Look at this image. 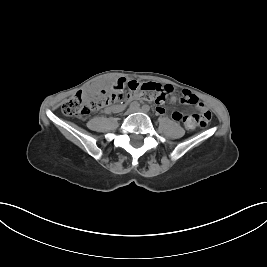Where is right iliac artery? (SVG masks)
Returning a JSON list of instances; mask_svg holds the SVG:
<instances>
[{"instance_id": "82829eb1", "label": "right iliac artery", "mask_w": 267, "mask_h": 267, "mask_svg": "<svg viewBox=\"0 0 267 267\" xmlns=\"http://www.w3.org/2000/svg\"><path fill=\"white\" fill-rule=\"evenodd\" d=\"M139 106H140L139 103L135 101V102H132L131 103L130 108L131 109H138Z\"/></svg>"}]
</instances>
